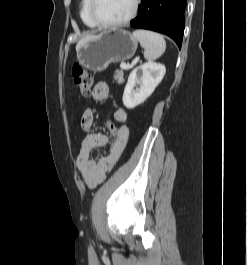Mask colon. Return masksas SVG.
Segmentation results:
<instances>
[{"label": "colon", "instance_id": "colon-1", "mask_svg": "<svg viewBox=\"0 0 247 265\" xmlns=\"http://www.w3.org/2000/svg\"><path fill=\"white\" fill-rule=\"evenodd\" d=\"M72 76L74 84L79 90L80 94L83 96L89 95L93 85V79L90 73L85 70L80 64H74L72 67ZM106 127L112 137L111 146L108 151V153L110 154L117 146L118 127L111 120L106 121Z\"/></svg>", "mask_w": 247, "mask_h": 265}]
</instances>
